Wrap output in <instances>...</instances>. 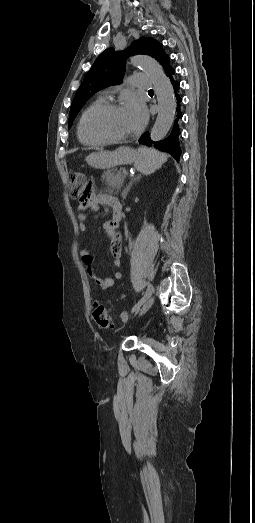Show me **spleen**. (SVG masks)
Here are the masks:
<instances>
[{"instance_id": "spleen-1", "label": "spleen", "mask_w": 255, "mask_h": 523, "mask_svg": "<svg viewBox=\"0 0 255 523\" xmlns=\"http://www.w3.org/2000/svg\"><path fill=\"white\" fill-rule=\"evenodd\" d=\"M139 158L135 160V168L141 174H154L156 170L161 168L162 164L167 162L166 154L163 152H158V150H153V148H139Z\"/></svg>"}]
</instances>
